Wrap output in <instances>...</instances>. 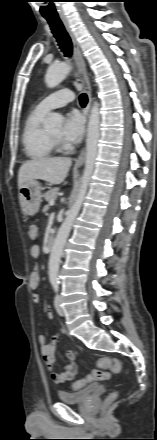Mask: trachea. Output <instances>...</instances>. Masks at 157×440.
Instances as JSON below:
<instances>
[{"instance_id":"3493384b","label":"trachea","mask_w":157,"mask_h":440,"mask_svg":"<svg viewBox=\"0 0 157 440\" xmlns=\"http://www.w3.org/2000/svg\"><path fill=\"white\" fill-rule=\"evenodd\" d=\"M46 20L50 25L51 31L54 37L56 38L61 51L64 53L66 57H71L72 42L61 20L59 18H46ZM79 101H80V105L82 107H85L88 102L87 95L85 93L81 94Z\"/></svg>"}]
</instances>
